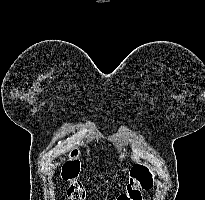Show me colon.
Wrapping results in <instances>:
<instances>
[{"instance_id":"colon-1","label":"colon","mask_w":205,"mask_h":200,"mask_svg":"<svg viewBox=\"0 0 205 200\" xmlns=\"http://www.w3.org/2000/svg\"><path fill=\"white\" fill-rule=\"evenodd\" d=\"M81 165L78 153L72 152L69 159L63 164L61 176L69 184L67 191L69 200H86V191L80 181ZM153 186V174L142 164L134 165L130 172V179L126 191L116 200H141V192Z\"/></svg>"}]
</instances>
